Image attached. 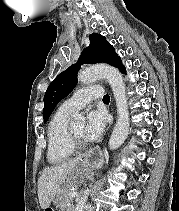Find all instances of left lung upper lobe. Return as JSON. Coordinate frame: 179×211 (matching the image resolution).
I'll return each instance as SVG.
<instances>
[{
  "mask_svg": "<svg viewBox=\"0 0 179 211\" xmlns=\"http://www.w3.org/2000/svg\"><path fill=\"white\" fill-rule=\"evenodd\" d=\"M89 38L90 45L83 50L78 62L60 73L47 88L44 96V122L48 120L57 103L66 97L76 86L80 65L84 63H108L116 67L117 63L121 61L105 37L93 33Z\"/></svg>",
  "mask_w": 179,
  "mask_h": 211,
  "instance_id": "obj_1",
  "label": "left lung upper lobe"
}]
</instances>
